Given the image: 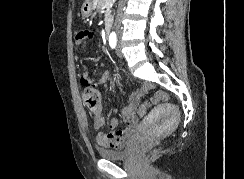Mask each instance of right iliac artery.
<instances>
[{
    "instance_id": "obj_1",
    "label": "right iliac artery",
    "mask_w": 244,
    "mask_h": 179,
    "mask_svg": "<svg viewBox=\"0 0 244 179\" xmlns=\"http://www.w3.org/2000/svg\"><path fill=\"white\" fill-rule=\"evenodd\" d=\"M109 44H110L112 49H114L116 47L117 38H116V34L115 33H111L110 34V36H109Z\"/></svg>"
}]
</instances>
